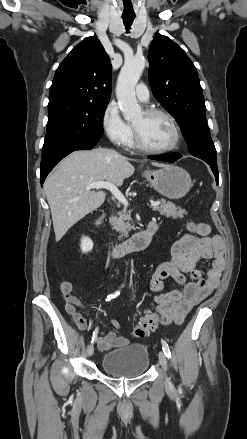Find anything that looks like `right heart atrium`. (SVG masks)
I'll use <instances>...</instances> for the list:
<instances>
[{"label": "right heart atrium", "instance_id": "1", "mask_svg": "<svg viewBox=\"0 0 247 439\" xmlns=\"http://www.w3.org/2000/svg\"><path fill=\"white\" fill-rule=\"evenodd\" d=\"M101 124L108 139L115 145L124 146L132 135L130 125L121 117L117 106L109 103L102 114Z\"/></svg>", "mask_w": 247, "mask_h": 439}]
</instances>
